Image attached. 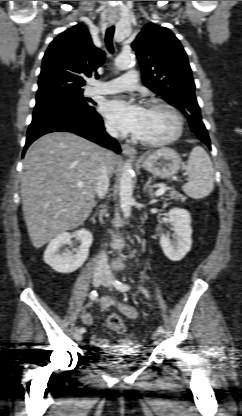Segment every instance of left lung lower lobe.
<instances>
[{
	"mask_svg": "<svg viewBox=\"0 0 242 416\" xmlns=\"http://www.w3.org/2000/svg\"><path fill=\"white\" fill-rule=\"evenodd\" d=\"M203 143H205L209 148H211L209 137L200 139Z\"/></svg>",
	"mask_w": 242,
	"mask_h": 416,
	"instance_id": "1",
	"label": "left lung lower lobe"
}]
</instances>
